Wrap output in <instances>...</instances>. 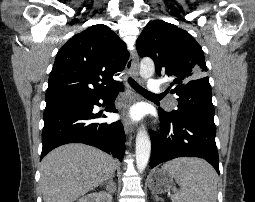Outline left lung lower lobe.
<instances>
[{"label": "left lung lower lobe", "mask_w": 255, "mask_h": 202, "mask_svg": "<svg viewBox=\"0 0 255 202\" xmlns=\"http://www.w3.org/2000/svg\"><path fill=\"white\" fill-rule=\"evenodd\" d=\"M161 132H151V168L177 157H199L219 173L214 120L201 116L169 117L159 110Z\"/></svg>", "instance_id": "1"}]
</instances>
